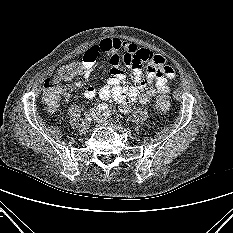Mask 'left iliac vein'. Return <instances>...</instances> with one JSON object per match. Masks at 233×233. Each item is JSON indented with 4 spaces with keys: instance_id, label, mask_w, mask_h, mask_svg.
Returning a JSON list of instances; mask_svg holds the SVG:
<instances>
[{
    "instance_id": "left-iliac-vein-1",
    "label": "left iliac vein",
    "mask_w": 233,
    "mask_h": 233,
    "mask_svg": "<svg viewBox=\"0 0 233 233\" xmlns=\"http://www.w3.org/2000/svg\"><path fill=\"white\" fill-rule=\"evenodd\" d=\"M94 120L103 126H108L114 130H119V131H127L124 127L117 125L109 120H107L106 118H104L99 112L96 113V115L94 116Z\"/></svg>"
}]
</instances>
